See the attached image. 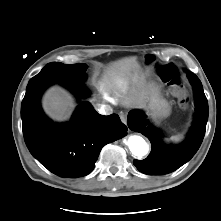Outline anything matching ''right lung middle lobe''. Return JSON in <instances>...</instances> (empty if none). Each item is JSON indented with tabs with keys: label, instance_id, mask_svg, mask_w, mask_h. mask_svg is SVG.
<instances>
[{
	"label": "right lung middle lobe",
	"instance_id": "right-lung-middle-lobe-1",
	"mask_svg": "<svg viewBox=\"0 0 221 221\" xmlns=\"http://www.w3.org/2000/svg\"><path fill=\"white\" fill-rule=\"evenodd\" d=\"M86 64H63L52 62L47 64L35 77H48L68 83H83L86 79Z\"/></svg>",
	"mask_w": 221,
	"mask_h": 221
}]
</instances>
